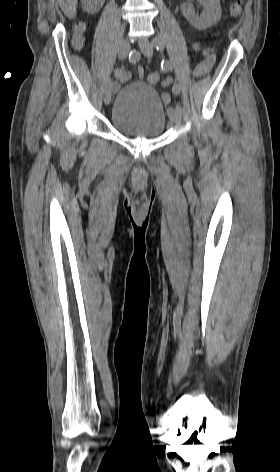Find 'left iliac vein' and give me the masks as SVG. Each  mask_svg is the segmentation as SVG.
Returning <instances> with one entry per match:
<instances>
[{"label":"left iliac vein","instance_id":"obj_1","mask_svg":"<svg viewBox=\"0 0 280 472\" xmlns=\"http://www.w3.org/2000/svg\"><path fill=\"white\" fill-rule=\"evenodd\" d=\"M139 47L142 53L147 57L151 58L153 55V44L149 40L144 39L139 42ZM168 115L170 120L175 124H180L181 122V112L176 108L170 107L168 109Z\"/></svg>","mask_w":280,"mask_h":472}]
</instances>
